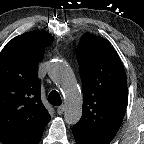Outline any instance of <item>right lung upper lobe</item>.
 <instances>
[{
	"label": "right lung upper lobe",
	"mask_w": 144,
	"mask_h": 144,
	"mask_svg": "<svg viewBox=\"0 0 144 144\" xmlns=\"http://www.w3.org/2000/svg\"><path fill=\"white\" fill-rule=\"evenodd\" d=\"M53 42L47 32L31 31L9 41L0 52V140L38 144L51 119L40 98L38 63Z\"/></svg>",
	"instance_id": "obj_1"
}]
</instances>
